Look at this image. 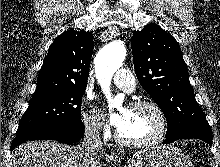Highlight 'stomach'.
I'll list each match as a JSON object with an SVG mask.
<instances>
[{
  "label": "stomach",
  "instance_id": "obj_1",
  "mask_svg": "<svg viewBox=\"0 0 220 167\" xmlns=\"http://www.w3.org/2000/svg\"><path fill=\"white\" fill-rule=\"evenodd\" d=\"M127 167H193L190 157L180 148L159 146L136 152Z\"/></svg>",
  "mask_w": 220,
  "mask_h": 167
}]
</instances>
